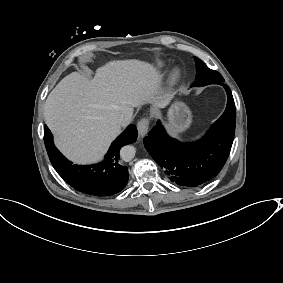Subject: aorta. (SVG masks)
I'll use <instances>...</instances> for the list:
<instances>
[{
	"label": "aorta",
	"mask_w": 283,
	"mask_h": 283,
	"mask_svg": "<svg viewBox=\"0 0 283 283\" xmlns=\"http://www.w3.org/2000/svg\"><path fill=\"white\" fill-rule=\"evenodd\" d=\"M136 154V148L132 145L124 146L120 151V156L123 161L129 162L131 161Z\"/></svg>",
	"instance_id": "aorta-1"
}]
</instances>
